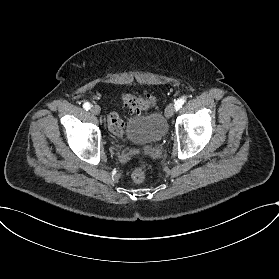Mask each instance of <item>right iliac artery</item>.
Returning <instances> with one entry per match:
<instances>
[{
	"mask_svg": "<svg viewBox=\"0 0 279 279\" xmlns=\"http://www.w3.org/2000/svg\"><path fill=\"white\" fill-rule=\"evenodd\" d=\"M90 104L88 103V102H86V103H84V105H83V108L85 109V110H89L90 109Z\"/></svg>",
	"mask_w": 279,
	"mask_h": 279,
	"instance_id": "1",
	"label": "right iliac artery"
}]
</instances>
